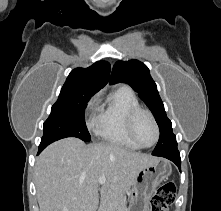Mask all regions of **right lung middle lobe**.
I'll list each match as a JSON object with an SVG mask.
<instances>
[{
  "label": "right lung middle lobe",
  "instance_id": "obj_1",
  "mask_svg": "<svg viewBox=\"0 0 221 211\" xmlns=\"http://www.w3.org/2000/svg\"><path fill=\"white\" fill-rule=\"evenodd\" d=\"M93 95L70 99H58L51 108L49 118L44 122L41 144H50L66 137H77L90 141L84 118L87 102Z\"/></svg>",
  "mask_w": 221,
  "mask_h": 211
}]
</instances>
